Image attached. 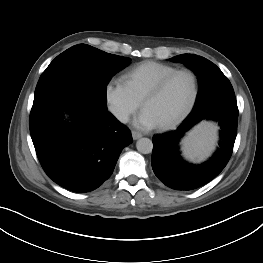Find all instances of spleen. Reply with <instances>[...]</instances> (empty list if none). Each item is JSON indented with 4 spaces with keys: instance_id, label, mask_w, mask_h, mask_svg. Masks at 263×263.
<instances>
[{
    "instance_id": "obj_1",
    "label": "spleen",
    "mask_w": 263,
    "mask_h": 263,
    "mask_svg": "<svg viewBox=\"0 0 263 263\" xmlns=\"http://www.w3.org/2000/svg\"><path fill=\"white\" fill-rule=\"evenodd\" d=\"M217 127L212 123H201L190 132L184 142L185 154L191 158H203L216 141Z\"/></svg>"
}]
</instances>
